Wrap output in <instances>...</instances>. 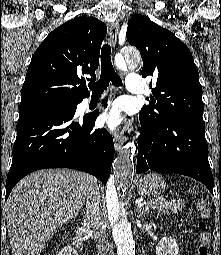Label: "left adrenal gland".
<instances>
[{
    "mask_svg": "<svg viewBox=\"0 0 221 255\" xmlns=\"http://www.w3.org/2000/svg\"><path fill=\"white\" fill-rule=\"evenodd\" d=\"M136 212H137V216L138 217H142L148 211L147 210H143L141 207H137L136 208Z\"/></svg>",
    "mask_w": 221,
    "mask_h": 255,
    "instance_id": "obj_1",
    "label": "left adrenal gland"
}]
</instances>
